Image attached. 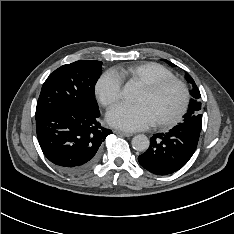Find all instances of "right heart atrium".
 Segmentation results:
<instances>
[{
    "instance_id": "d8ad5b80",
    "label": "right heart atrium",
    "mask_w": 234,
    "mask_h": 234,
    "mask_svg": "<svg viewBox=\"0 0 234 234\" xmlns=\"http://www.w3.org/2000/svg\"><path fill=\"white\" fill-rule=\"evenodd\" d=\"M94 91L103 106H112L121 98L122 81L113 71L107 70L98 77Z\"/></svg>"
}]
</instances>
